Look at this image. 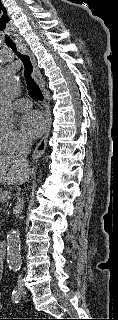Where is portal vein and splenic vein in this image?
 <instances>
[{
    "label": "portal vein and splenic vein",
    "instance_id": "1",
    "mask_svg": "<svg viewBox=\"0 0 118 320\" xmlns=\"http://www.w3.org/2000/svg\"><path fill=\"white\" fill-rule=\"evenodd\" d=\"M12 196V193L8 190L0 192V201H7Z\"/></svg>",
    "mask_w": 118,
    "mask_h": 320
}]
</instances>
